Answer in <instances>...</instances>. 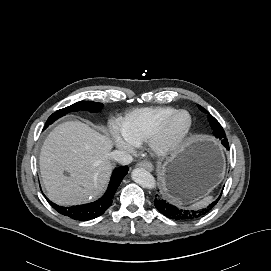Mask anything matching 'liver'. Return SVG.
Returning <instances> with one entry per match:
<instances>
[{"label":"liver","mask_w":271,"mask_h":271,"mask_svg":"<svg viewBox=\"0 0 271 271\" xmlns=\"http://www.w3.org/2000/svg\"><path fill=\"white\" fill-rule=\"evenodd\" d=\"M112 147L109 137L80 121L56 126L40 153V170L48 198L64 206L96 198L112 172L109 161Z\"/></svg>","instance_id":"liver-1"}]
</instances>
